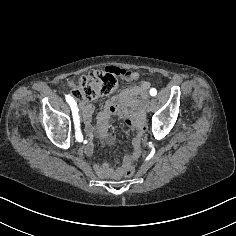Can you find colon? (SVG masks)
Here are the masks:
<instances>
[{"instance_id": "colon-1", "label": "colon", "mask_w": 236, "mask_h": 236, "mask_svg": "<svg viewBox=\"0 0 236 236\" xmlns=\"http://www.w3.org/2000/svg\"><path fill=\"white\" fill-rule=\"evenodd\" d=\"M122 69L109 67L105 70H92L80 77L77 83L71 84V95L78 101L94 100L109 95L116 89L117 77L122 76ZM135 174V167L127 163L122 169V176L130 178Z\"/></svg>"}]
</instances>
